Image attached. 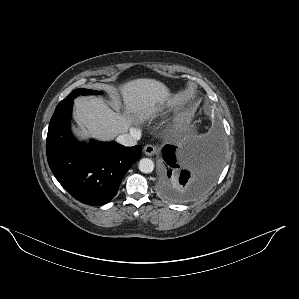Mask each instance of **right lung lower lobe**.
<instances>
[{"mask_svg": "<svg viewBox=\"0 0 299 299\" xmlns=\"http://www.w3.org/2000/svg\"><path fill=\"white\" fill-rule=\"evenodd\" d=\"M73 100L57 106L51 118L47 160L51 171L74 198L88 205L109 202L128 169L140 158L142 147L115 142H77L70 133Z\"/></svg>", "mask_w": 299, "mask_h": 299, "instance_id": "1", "label": "right lung lower lobe"}]
</instances>
